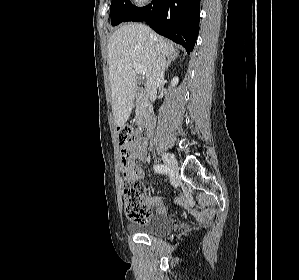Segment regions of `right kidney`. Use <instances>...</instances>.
Segmentation results:
<instances>
[{
    "label": "right kidney",
    "instance_id": "right-kidney-1",
    "mask_svg": "<svg viewBox=\"0 0 299 280\" xmlns=\"http://www.w3.org/2000/svg\"><path fill=\"white\" fill-rule=\"evenodd\" d=\"M178 81H179L178 77H174L172 82H171L172 86L177 85Z\"/></svg>",
    "mask_w": 299,
    "mask_h": 280
}]
</instances>
